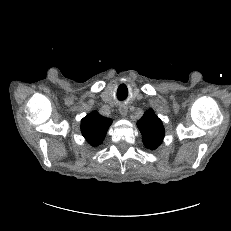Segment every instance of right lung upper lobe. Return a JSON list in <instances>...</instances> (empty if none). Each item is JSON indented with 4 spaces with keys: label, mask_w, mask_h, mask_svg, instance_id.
Returning <instances> with one entry per match:
<instances>
[{
    "label": "right lung upper lobe",
    "mask_w": 231,
    "mask_h": 231,
    "mask_svg": "<svg viewBox=\"0 0 231 231\" xmlns=\"http://www.w3.org/2000/svg\"><path fill=\"white\" fill-rule=\"evenodd\" d=\"M112 120L93 111L81 121V132L92 146H98L104 140Z\"/></svg>",
    "instance_id": "1"
}]
</instances>
